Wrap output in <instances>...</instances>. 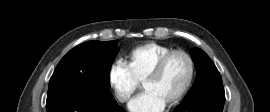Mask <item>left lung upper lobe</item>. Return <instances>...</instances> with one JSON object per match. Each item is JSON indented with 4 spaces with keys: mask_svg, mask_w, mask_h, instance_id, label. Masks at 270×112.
<instances>
[{
    "mask_svg": "<svg viewBox=\"0 0 270 112\" xmlns=\"http://www.w3.org/2000/svg\"><path fill=\"white\" fill-rule=\"evenodd\" d=\"M190 53L197 68V78L181 103L198 101L212 91L224 92L219 71L208 55L199 48H192Z\"/></svg>",
    "mask_w": 270,
    "mask_h": 112,
    "instance_id": "1",
    "label": "left lung upper lobe"
}]
</instances>
